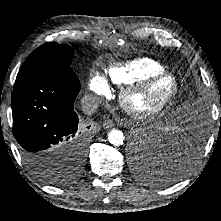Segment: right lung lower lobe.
<instances>
[{
	"label": "right lung lower lobe",
	"instance_id": "98d812e1",
	"mask_svg": "<svg viewBox=\"0 0 221 221\" xmlns=\"http://www.w3.org/2000/svg\"><path fill=\"white\" fill-rule=\"evenodd\" d=\"M79 91L73 73L40 76L12 91L13 135L22 157L37 171L82 164L87 142L74 111Z\"/></svg>",
	"mask_w": 221,
	"mask_h": 221
}]
</instances>
